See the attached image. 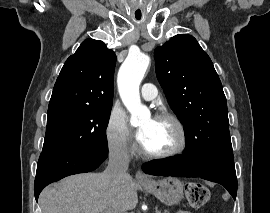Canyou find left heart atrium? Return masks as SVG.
Listing matches in <instances>:
<instances>
[{
    "instance_id": "left-heart-atrium-1",
    "label": "left heart atrium",
    "mask_w": 270,
    "mask_h": 213,
    "mask_svg": "<svg viewBox=\"0 0 270 213\" xmlns=\"http://www.w3.org/2000/svg\"><path fill=\"white\" fill-rule=\"evenodd\" d=\"M147 130L146 129H140L136 133V139L139 143H143L146 138Z\"/></svg>"
}]
</instances>
